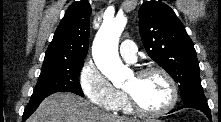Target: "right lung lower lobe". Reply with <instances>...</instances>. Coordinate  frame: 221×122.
<instances>
[{"label":"right lung lower lobe","instance_id":"98d812e1","mask_svg":"<svg viewBox=\"0 0 221 122\" xmlns=\"http://www.w3.org/2000/svg\"><path fill=\"white\" fill-rule=\"evenodd\" d=\"M45 97L38 98L35 100H30L27 107L24 110L22 121H25L39 106V104L43 101Z\"/></svg>","mask_w":221,"mask_h":122}]
</instances>
